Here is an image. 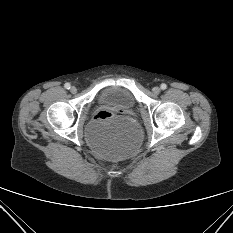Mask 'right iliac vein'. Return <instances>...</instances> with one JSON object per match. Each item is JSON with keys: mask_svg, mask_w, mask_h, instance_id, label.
Here are the masks:
<instances>
[{"mask_svg": "<svg viewBox=\"0 0 233 233\" xmlns=\"http://www.w3.org/2000/svg\"><path fill=\"white\" fill-rule=\"evenodd\" d=\"M70 92L73 93V94H75L77 92V88L75 86H72L70 88Z\"/></svg>", "mask_w": 233, "mask_h": 233, "instance_id": "1", "label": "right iliac vein"}]
</instances>
